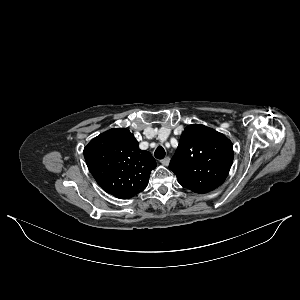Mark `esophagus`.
I'll list each match as a JSON object with an SVG mask.
<instances>
[{
    "instance_id": "obj_1",
    "label": "esophagus",
    "mask_w": 300,
    "mask_h": 300,
    "mask_svg": "<svg viewBox=\"0 0 300 300\" xmlns=\"http://www.w3.org/2000/svg\"><path fill=\"white\" fill-rule=\"evenodd\" d=\"M161 164L164 166H168L169 162H170V158L169 157H165L163 159L160 160Z\"/></svg>"
}]
</instances>
